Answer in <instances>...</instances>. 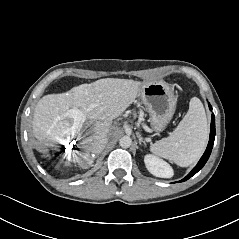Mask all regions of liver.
Returning a JSON list of instances; mask_svg holds the SVG:
<instances>
[{
    "instance_id": "1",
    "label": "liver",
    "mask_w": 239,
    "mask_h": 239,
    "mask_svg": "<svg viewBox=\"0 0 239 239\" xmlns=\"http://www.w3.org/2000/svg\"><path fill=\"white\" fill-rule=\"evenodd\" d=\"M142 84L131 79L105 78L76 86L66 93L43 96L35 106L32 120V131L38 141V150L44 151L47 147H54L65 140L67 129L73 125V119L66 117L65 113L69 109L77 108L84 112L85 121L93 123L94 127L93 134L83 141L86 152L79 156L74 154L72 160L80 165L84 162L91 164L89 153H98L94 149L97 139L101 136L107 137L112 120L130 106Z\"/></svg>"
}]
</instances>
